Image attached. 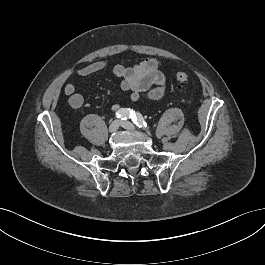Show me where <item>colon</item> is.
<instances>
[{
  "instance_id": "obj_1",
  "label": "colon",
  "mask_w": 265,
  "mask_h": 265,
  "mask_svg": "<svg viewBox=\"0 0 265 265\" xmlns=\"http://www.w3.org/2000/svg\"><path fill=\"white\" fill-rule=\"evenodd\" d=\"M176 81L180 88H184L189 84L190 78L187 73L179 72L176 74Z\"/></svg>"
}]
</instances>
